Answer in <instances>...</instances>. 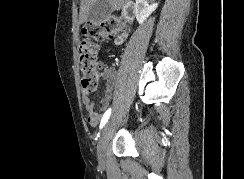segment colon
<instances>
[{"label":"colon","instance_id":"colon-1","mask_svg":"<svg viewBox=\"0 0 244 179\" xmlns=\"http://www.w3.org/2000/svg\"><path fill=\"white\" fill-rule=\"evenodd\" d=\"M124 23L116 18L101 20L97 26L86 23L81 28L83 40L78 45L79 64L82 72V87L94 93L98 87L105 64L98 57L96 41L108 35L117 34Z\"/></svg>","mask_w":244,"mask_h":179}]
</instances>
